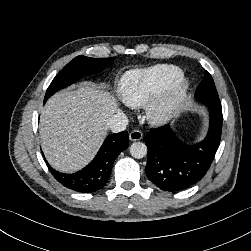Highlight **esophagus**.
Segmentation results:
<instances>
[{
  "label": "esophagus",
  "instance_id": "34e87169",
  "mask_svg": "<svg viewBox=\"0 0 251 251\" xmlns=\"http://www.w3.org/2000/svg\"><path fill=\"white\" fill-rule=\"evenodd\" d=\"M142 137H143L142 132L140 130H137V129L131 131L130 134H129L130 141H139V140L142 139Z\"/></svg>",
  "mask_w": 251,
  "mask_h": 251
}]
</instances>
